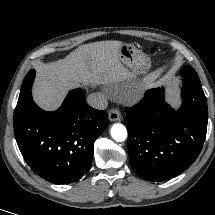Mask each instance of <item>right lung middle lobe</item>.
<instances>
[{
    "label": "right lung middle lobe",
    "mask_w": 215,
    "mask_h": 215,
    "mask_svg": "<svg viewBox=\"0 0 215 215\" xmlns=\"http://www.w3.org/2000/svg\"><path fill=\"white\" fill-rule=\"evenodd\" d=\"M35 77V71L31 70L29 71V73L26 75L23 84H22V88H21V92L19 95V99L17 102V106L15 108V112H14V120H13V125H16L20 119L28 112L29 107L31 105V101H32V96L31 94L26 91V89H24L26 86H28L29 89H31L33 80Z\"/></svg>",
    "instance_id": "obj_1"
}]
</instances>
